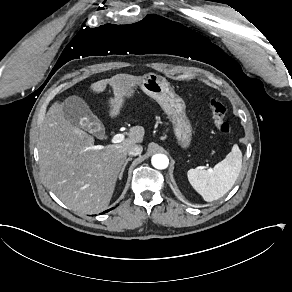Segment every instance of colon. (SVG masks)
Masks as SVG:
<instances>
[{
    "instance_id": "obj_1",
    "label": "colon",
    "mask_w": 292,
    "mask_h": 292,
    "mask_svg": "<svg viewBox=\"0 0 292 292\" xmlns=\"http://www.w3.org/2000/svg\"><path fill=\"white\" fill-rule=\"evenodd\" d=\"M208 106L215 128L222 134H228L230 132V125L226 120L225 105L218 98L211 96L208 101Z\"/></svg>"
}]
</instances>
